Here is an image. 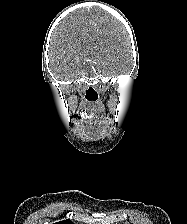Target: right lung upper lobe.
Returning a JSON list of instances; mask_svg holds the SVG:
<instances>
[{
    "instance_id": "right-lung-upper-lobe-1",
    "label": "right lung upper lobe",
    "mask_w": 187,
    "mask_h": 224,
    "mask_svg": "<svg viewBox=\"0 0 187 224\" xmlns=\"http://www.w3.org/2000/svg\"><path fill=\"white\" fill-rule=\"evenodd\" d=\"M55 224H74L71 220H64V221H61V222H57Z\"/></svg>"
}]
</instances>
